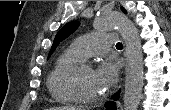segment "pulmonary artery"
<instances>
[{
    "label": "pulmonary artery",
    "mask_w": 171,
    "mask_h": 110,
    "mask_svg": "<svg viewBox=\"0 0 171 110\" xmlns=\"http://www.w3.org/2000/svg\"><path fill=\"white\" fill-rule=\"evenodd\" d=\"M113 43V35L107 33H92L77 38L72 47L83 57L106 53Z\"/></svg>",
    "instance_id": "pulmonary-artery-1"
}]
</instances>
